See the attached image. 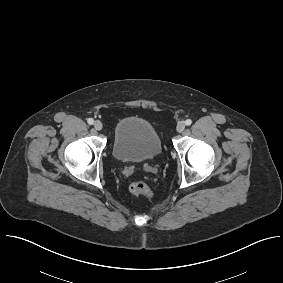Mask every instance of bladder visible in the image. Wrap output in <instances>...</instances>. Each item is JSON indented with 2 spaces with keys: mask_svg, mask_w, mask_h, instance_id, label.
I'll list each match as a JSON object with an SVG mask.
<instances>
[{
  "mask_svg": "<svg viewBox=\"0 0 283 283\" xmlns=\"http://www.w3.org/2000/svg\"><path fill=\"white\" fill-rule=\"evenodd\" d=\"M112 151L119 161L145 162L161 154L162 143L149 121L139 117H126L115 125Z\"/></svg>",
  "mask_w": 283,
  "mask_h": 283,
  "instance_id": "obj_1",
  "label": "bladder"
}]
</instances>
